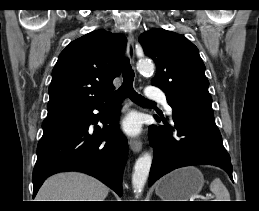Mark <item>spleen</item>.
Wrapping results in <instances>:
<instances>
[{"instance_id":"obj_1","label":"spleen","mask_w":259,"mask_h":211,"mask_svg":"<svg viewBox=\"0 0 259 211\" xmlns=\"http://www.w3.org/2000/svg\"><path fill=\"white\" fill-rule=\"evenodd\" d=\"M210 190L214 193L215 201H231L226 186L219 178H215L210 184Z\"/></svg>"}]
</instances>
